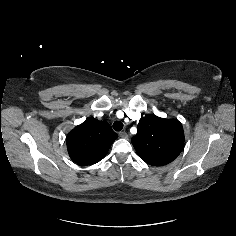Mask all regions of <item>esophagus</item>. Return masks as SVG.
<instances>
[{
	"mask_svg": "<svg viewBox=\"0 0 236 236\" xmlns=\"http://www.w3.org/2000/svg\"><path fill=\"white\" fill-rule=\"evenodd\" d=\"M119 136H120L121 138L126 139V138L128 137V134H127L125 131H122V132L119 133Z\"/></svg>",
	"mask_w": 236,
	"mask_h": 236,
	"instance_id": "obj_1",
	"label": "esophagus"
}]
</instances>
